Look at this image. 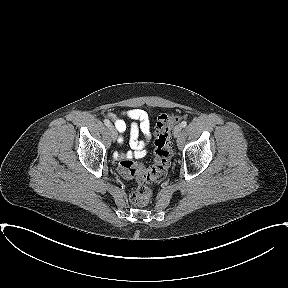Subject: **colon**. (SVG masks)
I'll list each match as a JSON object with an SVG mask.
<instances>
[{
    "label": "colon",
    "instance_id": "1",
    "mask_svg": "<svg viewBox=\"0 0 288 288\" xmlns=\"http://www.w3.org/2000/svg\"><path fill=\"white\" fill-rule=\"evenodd\" d=\"M175 114L159 116L155 131V156L149 165L137 163L131 158H124L119 164V173L128 180H136L137 188L130 194V201L135 205L146 204L151 197L148 184L159 182L167 174L172 155L171 131L180 120Z\"/></svg>",
    "mask_w": 288,
    "mask_h": 288
}]
</instances>
